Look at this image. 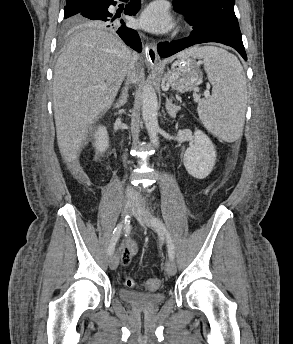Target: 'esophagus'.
<instances>
[{"label":"esophagus","mask_w":293,"mask_h":344,"mask_svg":"<svg viewBox=\"0 0 293 344\" xmlns=\"http://www.w3.org/2000/svg\"><path fill=\"white\" fill-rule=\"evenodd\" d=\"M145 56L148 64L157 67L159 65V57L155 42H149L145 46Z\"/></svg>","instance_id":"1"}]
</instances>
